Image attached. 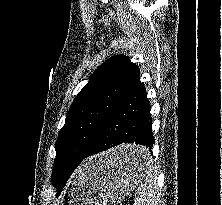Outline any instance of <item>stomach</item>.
<instances>
[{
	"instance_id": "1",
	"label": "stomach",
	"mask_w": 222,
	"mask_h": 205,
	"mask_svg": "<svg viewBox=\"0 0 222 205\" xmlns=\"http://www.w3.org/2000/svg\"><path fill=\"white\" fill-rule=\"evenodd\" d=\"M146 150L122 145L86 160L68 183L59 205H117L145 178L150 161L123 164L117 157L127 151Z\"/></svg>"
}]
</instances>
